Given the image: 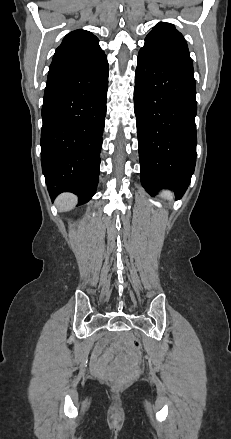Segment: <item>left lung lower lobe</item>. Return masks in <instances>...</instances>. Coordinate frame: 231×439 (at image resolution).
I'll return each mask as SVG.
<instances>
[{"label":"left lung lower lobe","instance_id":"left-lung-lower-lobe-1","mask_svg":"<svg viewBox=\"0 0 231 439\" xmlns=\"http://www.w3.org/2000/svg\"><path fill=\"white\" fill-rule=\"evenodd\" d=\"M134 111L143 187L150 194L168 188L180 198L196 163L193 65L161 59L140 50Z\"/></svg>","mask_w":231,"mask_h":439}]
</instances>
